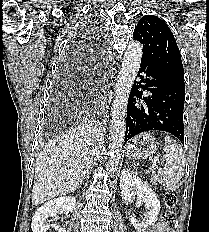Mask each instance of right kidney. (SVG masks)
<instances>
[{
	"label": "right kidney",
	"mask_w": 209,
	"mask_h": 232,
	"mask_svg": "<svg viewBox=\"0 0 209 232\" xmlns=\"http://www.w3.org/2000/svg\"><path fill=\"white\" fill-rule=\"evenodd\" d=\"M76 199L71 196H63L46 202L35 212L31 228L33 232H47L49 230V217L56 216L60 211L71 212L75 208ZM58 232H66L64 228H58Z\"/></svg>",
	"instance_id": "1"
}]
</instances>
